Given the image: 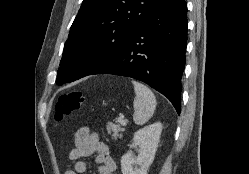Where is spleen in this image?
Returning <instances> with one entry per match:
<instances>
[{
  "instance_id": "obj_1",
  "label": "spleen",
  "mask_w": 249,
  "mask_h": 174,
  "mask_svg": "<svg viewBox=\"0 0 249 174\" xmlns=\"http://www.w3.org/2000/svg\"><path fill=\"white\" fill-rule=\"evenodd\" d=\"M135 100L133 120L137 125H143L154 114L156 98L153 92L144 84L133 81Z\"/></svg>"
}]
</instances>
